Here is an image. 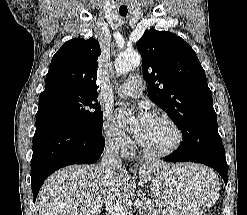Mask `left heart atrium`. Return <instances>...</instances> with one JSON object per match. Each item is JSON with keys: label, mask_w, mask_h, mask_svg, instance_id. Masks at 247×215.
I'll list each match as a JSON object with an SVG mask.
<instances>
[{"label": "left heart atrium", "mask_w": 247, "mask_h": 215, "mask_svg": "<svg viewBox=\"0 0 247 215\" xmlns=\"http://www.w3.org/2000/svg\"><path fill=\"white\" fill-rule=\"evenodd\" d=\"M154 119L153 115L148 112L141 111L137 113L132 123V131L138 140L144 135ZM115 120L119 125L123 126L127 122V114L122 111L118 112L115 116Z\"/></svg>", "instance_id": "obj_1"}]
</instances>
